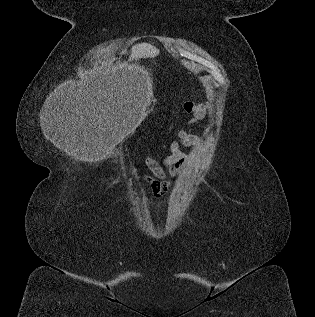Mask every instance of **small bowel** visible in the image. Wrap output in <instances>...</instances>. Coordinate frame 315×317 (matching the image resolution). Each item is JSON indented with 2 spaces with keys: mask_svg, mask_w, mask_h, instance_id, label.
Segmentation results:
<instances>
[{
  "mask_svg": "<svg viewBox=\"0 0 315 317\" xmlns=\"http://www.w3.org/2000/svg\"><path fill=\"white\" fill-rule=\"evenodd\" d=\"M184 110L191 114L189 126L204 118L209 106L207 104L185 103ZM214 132V126H209L203 137L193 134L189 127H181L178 133L179 141L171 140L167 148L171 154L163 159L161 163L151 157L145 159V165L151 175H143V179L150 185L155 198L161 199L166 195L171 180L176 177L190 162L189 156L182 151L181 145L185 147L196 146L204 142Z\"/></svg>",
  "mask_w": 315,
  "mask_h": 317,
  "instance_id": "c3829d8e",
  "label": "small bowel"
}]
</instances>
